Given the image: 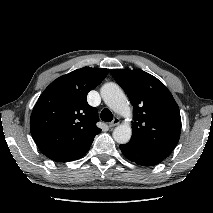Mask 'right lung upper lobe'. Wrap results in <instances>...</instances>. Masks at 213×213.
<instances>
[{
	"mask_svg": "<svg viewBox=\"0 0 213 213\" xmlns=\"http://www.w3.org/2000/svg\"><path fill=\"white\" fill-rule=\"evenodd\" d=\"M108 73V69L83 67L57 78L44 90L33 108L30 131L45 156L75 154L92 144L101 129L87 94Z\"/></svg>",
	"mask_w": 213,
	"mask_h": 213,
	"instance_id": "cb5924a9",
	"label": "right lung upper lobe"
}]
</instances>
